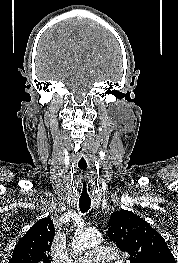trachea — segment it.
Returning a JSON list of instances; mask_svg holds the SVG:
<instances>
[{"mask_svg":"<svg viewBox=\"0 0 178 263\" xmlns=\"http://www.w3.org/2000/svg\"><path fill=\"white\" fill-rule=\"evenodd\" d=\"M90 205L91 198L88 193L87 183L84 181L80 186L79 209L82 213H85L90 209Z\"/></svg>","mask_w":178,"mask_h":263,"instance_id":"trachea-1","label":"trachea"}]
</instances>
